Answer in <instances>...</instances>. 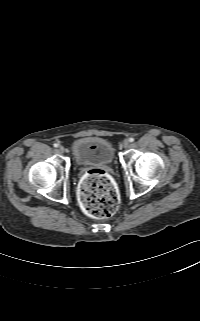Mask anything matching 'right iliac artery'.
<instances>
[{
  "label": "right iliac artery",
  "mask_w": 200,
  "mask_h": 321,
  "mask_svg": "<svg viewBox=\"0 0 200 321\" xmlns=\"http://www.w3.org/2000/svg\"><path fill=\"white\" fill-rule=\"evenodd\" d=\"M59 145L57 143L54 144V147H58Z\"/></svg>",
  "instance_id": "82829eb1"
}]
</instances>
